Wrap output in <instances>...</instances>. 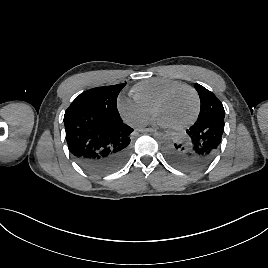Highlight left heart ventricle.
Segmentation results:
<instances>
[{"label": "left heart ventricle", "instance_id": "left-heart-ventricle-1", "mask_svg": "<svg viewBox=\"0 0 268 268\" xmlns=\"http://www.w3.org/2000/svg\"><path fill=\"white\" fill-rule=\"evenodd\" d=\"M195 99L187 89H181L174 93L159 108L157 117L173 127L187 121L194 113Z\"/></svg>", "mask_w": 268, "mask_h": 268}]
</instances>
